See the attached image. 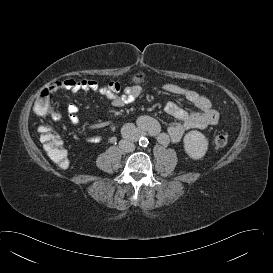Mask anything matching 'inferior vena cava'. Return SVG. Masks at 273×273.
Wrapping results in <instances>:
<instances>
[{
    "instance_id": "inferior-vena-cava-1",
    "label": "inferior vena cava",
    "mask_w": 273,
    "mask_h": 273,
    "mask_svg": "<svg viewBox=\"0 0 273 273\" xmlns=\"http://www.w3.org/2000/svg\"><path fill=\"white\" fill-rule=\"evenodd\" d=\"M119 145L126 152H131L134 149V144L130 143V142L126 141V140H121Z\"/></svg>"
}]
</instances>
